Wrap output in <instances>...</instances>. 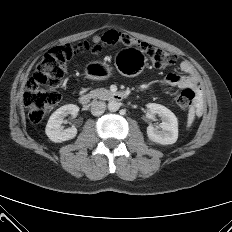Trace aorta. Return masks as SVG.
<instances>
[{
  "instance_id": "762f6f07",
  "label": "aorta",
  "mask_w": 232,
  "mask_h": 232,
  "mask_svg": "<svg viewBox=\"0 0 232 232\" xmlns=\"http://www.w3.org/2000/svg\"><path fill=\"white\" fill-rule=\"evenodd\" d=\"M120 108V104L116 100H111L108 103V110L110 112H116Z\"/></svg>"
}]
</instances>
